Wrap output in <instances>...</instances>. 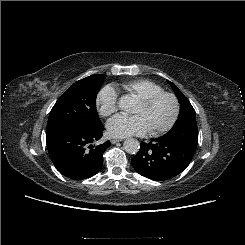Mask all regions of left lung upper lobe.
I'll return each instance as SVG.
<instances>
[{
    "instance_id": "1",
    "label": "left lung upper lobe",
    "mask_w": 245,
    "mask_h": 245,
    "mask_svg": "<svg viewBox=\"0 0 245 245\" xmlns=\"http://www.w3.org/2000/svg\"><path fill=\"white\" fill-rule=\"evenodd\" d=\"M168 83L171 85L178 97L180 103V114L172 129L163 135V138L175 144L197 147L198 128L195 110L178 87L170 81H168Z\"/></svg>"
}]
</instances>
